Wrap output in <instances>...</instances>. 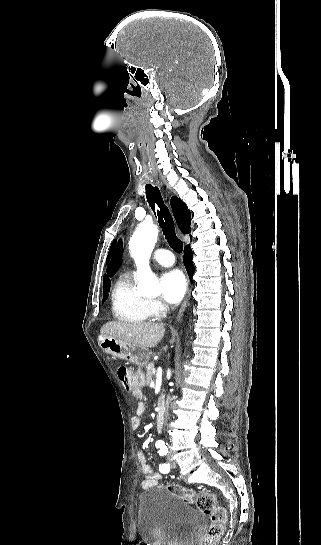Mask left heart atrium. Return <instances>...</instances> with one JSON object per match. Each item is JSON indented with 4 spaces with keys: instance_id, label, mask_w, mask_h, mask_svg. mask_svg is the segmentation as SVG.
Wrapping results in <instances>:
<instances>
[{
    "instance_id": "obj_1",
    "label": "left heart atrium",
    "mask_w": 321,
    "mask_h": 545,
    "mask_svg": "<svg viewBox=\"0 0 321 545\" xmlns=\"http://www.w3.org/2000/svg\"><path fill=\"white\" fill-rule=\"evenodd\" d=\"M163 300L168 304L177 303L185 294L187 282L179 270H169L160 278Z\"/></svg>"
}]
</instances>
